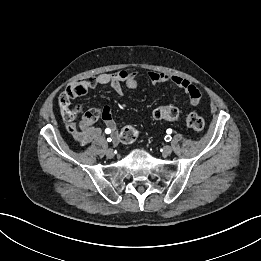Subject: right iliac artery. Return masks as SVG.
Masks as SVG:
<instances>
[{
  "instance_id": "obj_1",
  "label": "right iliac artery",
  "mask_w": 261,
  "mask_h": 261,
  "mask_svg": "<svg viewBox=\"0 0 261 261\" xmlns=\"http://www.w3.org/2000/svg\"><path fill=\"white\" fill-rule=\"evenodd\" d=\"M110 132H111V131H110L109 129H106V133H107V134H109ZM107 141H108V142H111L112 139H111V138H107Z\"/></svg>"
}]
</instances>
